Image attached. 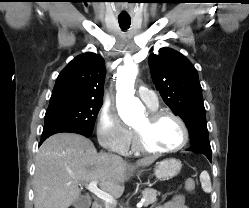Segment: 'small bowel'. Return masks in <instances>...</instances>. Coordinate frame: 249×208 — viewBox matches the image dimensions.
Masks as SVG:
<instances>
[{
    "instance_id": "1",
    "label": "small bowel",
    "mask_w": 249,
    "mask_h": 208,
    "mask_svg": "<svg viewBox=\"0 0 249 208\" xmlns=\"http://www.w3.org/2000/svg\"><path fill=\"white\" fill-rule=\"evenodd\" d=\"M156 208H188V207L185 205L183 196L176 195L170 201H167Z\"/></svg>"
}]
</instances>
